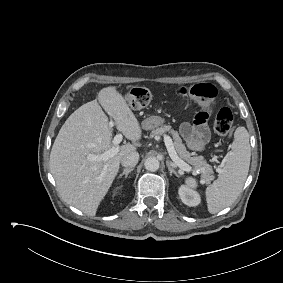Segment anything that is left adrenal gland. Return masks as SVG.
<instances>
[{
  "label": "left adrenal gland",
  "mask_w": 283,
  "mask_h": 283,
  "mask_svg": "<svg viewBox=\"0 0 283 283\" xmlns=\"http://www.w3.org/2000/svg\"><path fill=\"white\" fill-rule=\"evenodd\" d=\"M167 167L169 169L170 175L172 176V174H175L176 177H180V174H178L171 166V164L167 161Z\"/></svg>",
  "instance_id": "obj_1"
}]
</instances>
